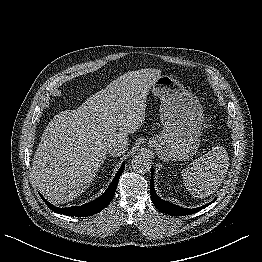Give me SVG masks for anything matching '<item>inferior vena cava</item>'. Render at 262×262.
Wrapping results in <instances>:
<instances>
[{"mask_svg":"<svg viewBox=\"0 0 262 262\" xmlns=\"http://www.w3.org/2000/svg\"><path fill=\"white\" fill-rule=\"evenodd\" d=\"M127 150V142H114L108 146V153L114 157L123 155Z\"/></svg>","mask_w":262,"mask_h":262,"instance_id":"inferior-vena-cava-1","label":"inferior vena cava"}]
</instances>
